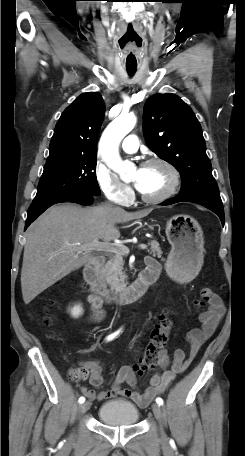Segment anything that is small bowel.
<instances>
[{"mask_svg": "<svg viewBox=\"0 0 245 456\" xmlns=\"http://www.w3.org/2000/svg\"><path fill=\"white\" fill-rule=\"evenodd\" d=\"M91 304L92 322H99L104 317V312L101 308V302L97 301L93 295L88 297ZM195 306L199 311L198 319L201 323L199 328L191 329L186 335V341L189 346L188 354L181 349L174 351L170 358L167 351L160 361L162 367L170 365V370L162 374L156 373L150 378L149 387L143 392H138L136 388V378L132 368L124 366L119 369L112 388L108 391H103L98 394L94 390L82 387L81 392L90 400L99 402L114 398L125 397L132 400L140 407L147 406L153 398L161 394L168 387L169 383L175 377L184 372L194 360L201 345L207 340L216 330L220 320L225 313V307L220 296L209 288H204L200 292V296L195 300ZM84 369L89 374V381L92 386L99 387L103 383V365L99 361H88L84 364ZM127 383L131 389L122 388V384Z\"/></svg>", "mask_w": 245, "mask_h": 456, "instance_id": "c3829d8e", "label": "small bowel"}]
</instances>
